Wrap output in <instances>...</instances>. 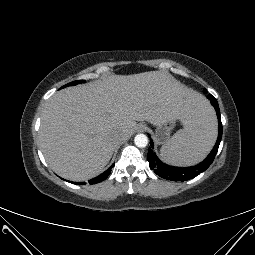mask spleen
Returning <instances> with one entry per match:
<instances>
[{
    "label": "spleen",
    "mask_w": 255,
    "mask_h": 255,
    "mask_svg": "<svg viewBox=\"0 0 255 255\" xmlns=\"http://www.w3.org/2000/svg\"><path fill=\"white\" fill-rule=\"evenodd\" d=\"M217 137L215 113L200 101L195 118L161 147V158L172 165L189 166L203 160Z\"/></svg>",
    "instance_id": "spleen-1"
}]
</instances>
